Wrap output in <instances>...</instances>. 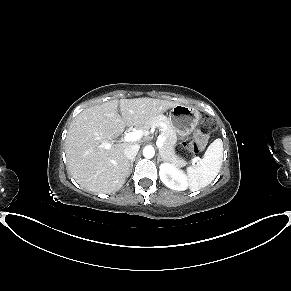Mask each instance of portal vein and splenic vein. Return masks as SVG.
Wrapping results in <instances>:
<instances>
[{
	"mask_svg": "<svg viewBox=\"0 0 291 291\" xmlns=\"http://www.w3.org/2000/svg\"><path fill=\"white\" fill-rule=\"evenodd\" d=\"M142 136H143V132L141 130H136V131L127 133L124 136L123 140L125 142H134V141L140 140L142 138ZM165 139H166V136L159 135L157 137L156 145L158 148L163 147V142L165 141ZM104 147L107 149L110 148V143L105 144ZM199 160H200V158L198 156H195L194 159L192 160V162L195 163V162H198Z\"/></svg>",
	"mask_w": 291,
	"mask_h": 291,
	"instance_id": "portal-vein-and-splenic-vein-1",
	"label": "portal vein and splenic vein"
}]
</instances>
